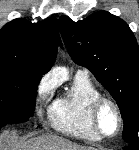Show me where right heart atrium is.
Here are the masks:
<instances>
[{"instance_id": "obj_1", "label": "right heart atrium", "mask_w": 139, "mask_h": 150, "mask_svg": "<svg viewBox=\"0 0 139 150\" xmlns=\"http://www.w3.org/2000/svg\"><path fill=\"white\" fill-rule=\"evenodd\" d=\"M51 83L45 79H43L38 87V93L40 98H45L51 91Z\"/></svg>"}]
</instances>
